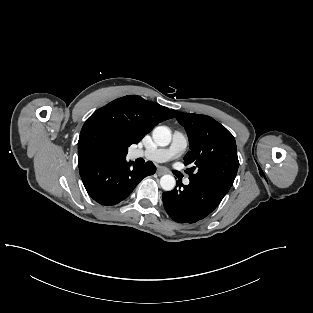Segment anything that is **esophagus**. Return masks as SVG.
<instances>
[{
  "label": "esophagus",
  "mask_w": 313,
  "mask_h": 313,
  "mask_svg": "<svg viewBox=\"0 0 313 313\" xmlns=\"http://www.w3.org/2000/svg\"><path fill=\"white\" fill-rule=\"evenodd\" d=\"M166 173H167V171H166L165 169H163V168H158V169H157V174H158L159 176L164 175V174H166Z\"/></svg>",
  "instance_id": "1"
}]
</instances>
